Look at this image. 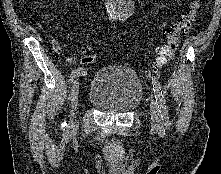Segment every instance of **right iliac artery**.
Listing matches in <instances>:
<instances>
[{"instance_id": "1", "label": "right iliac artery", "mask_w": 221, "mask_h": 174, "mask_svg": "<svg viewBox=\"0 0 221 174\" xmlns=\"http://www.w3.org/2000/svg\"><path fill=\"white\" fill-rule=\"evenodd\" d=\"M86 74L87 72L84 68H77L72 71L70 75V81H73L74 78L79 77L80 75H86ZM65 126H66V122L62 124V127H65Z\"/></svg>"}]
</instances>
